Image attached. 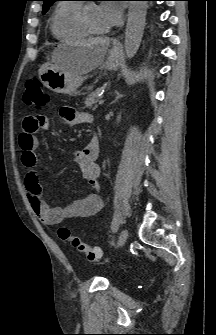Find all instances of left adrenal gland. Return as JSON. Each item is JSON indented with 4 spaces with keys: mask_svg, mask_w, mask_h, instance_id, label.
<instances>
[{
    "mask_svg": "<svg viewBox=\"0 0 216 335\" xmlns=\"http://www.w3.org/2000/svg\"><path fill=\"white\" fill-rule=\"evenodd\" d=\"M124 96V94H121L119 91H115V100L114 102H116L118 99L122 98Z\"/></svg>",
    "mask_w": 216,
    "mask_h": 335,
    "instance_id": "a2214340",
    "label": "left adrenal gland"
}]
</instances>
